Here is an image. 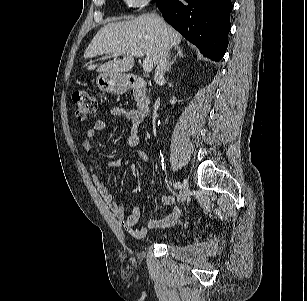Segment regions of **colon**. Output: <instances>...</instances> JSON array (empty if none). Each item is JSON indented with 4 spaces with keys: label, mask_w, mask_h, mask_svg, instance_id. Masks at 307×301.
Instances as JSON below:
<instances>
[{
    "label": "colon",
    "mask_w": 307,
    "mask_h": 301,
    "mask_svg": "<svg viewBox=\"0 0 307 301\" xmlns=\"http://www.w3.org/2000/svg\"><path fill=\"white\" fill-rule=\"evenodd\" d=\"M73 103L75 107V114L80 120H84L96 113V98L85 91L74 93Z\"/></svg>",
    "instance_id": "colon-1"
}]
</instances>
